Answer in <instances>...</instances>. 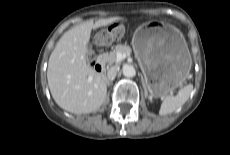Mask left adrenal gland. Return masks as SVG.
Listing matches in <instances>:
<instances>
[{"label":"left adrenal gland","instance_id":"left-adrenal-gland-1","mask_svg":"<svg viewBox=\"0 0 230 155\" xmlns=\"http://www.w3.org/2000/svg\"><path fill=\"white\" fill-rule=\"evenodd\" d=\"M142 78V82H143V84H144V81H143V77H141ZM145 88V87H144ZM145 92H146V89H145ZM147 95V94H146Z\"/></svg>","mask_w":230,"mask_h":155}]
</instances>
